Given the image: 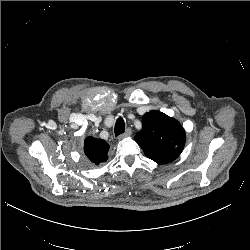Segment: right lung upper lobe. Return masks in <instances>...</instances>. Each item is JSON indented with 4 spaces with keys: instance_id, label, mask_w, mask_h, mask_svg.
Returning <instances> with one entry per match:
<instances>
[{
    "instance_id": "obj_1",
    "label": "right lung upper lobe",
    "mask_w": 250,
    "mask_h": 250,
    "mask_svg": "<svg viewBox=\"0 0 250 250\" xmlns=\"http://www.w3.org/2000/svg\"><path fill=\"white\" fill-rule=\"evenodd\" d=\"M109 144L102 140L87 137L84 142V153L88 159L95 165H99L108 159Z\"/></svg>"
}]
</instances>
